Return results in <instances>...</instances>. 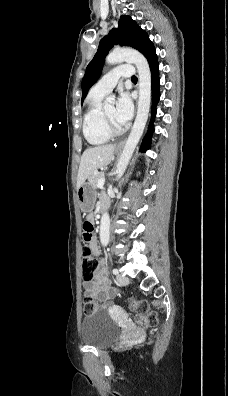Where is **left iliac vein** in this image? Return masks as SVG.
I'll return each mask as SVG.
<instances>
[{"label": "left iliac vein", "instance_id": "4c4485c4", "mask_svg": "<svg viewBox=\"0 0 228 396\" xmlns=\"http://www.w3.org/2000/svg\"><path fill=\"white\" fill-rule=\"evenodd\" d=\"M117 281L120 285H127L129 283V279L124 275H118Z\"/></svg>", "mask_w": 228, "mask_h": 396}]
</instances>
